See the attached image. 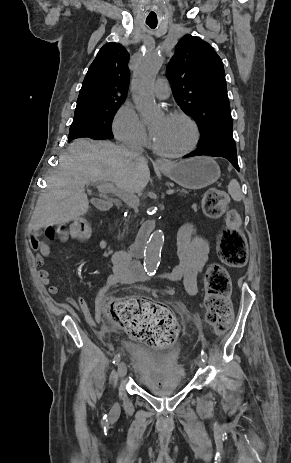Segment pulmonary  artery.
<instances>
[{"label":"pulmonary artery","mask_w":291,"mask_h":463,"mask_svg":"<svg viewBox=\"0 0 291 463\" xmlns=\"http://www.w3.org/2000/svg\"><path fill=\"white\" fill-rule=\"evenodd\" d=\"M153 93L158 99H167L170 95L168 80L164 77L158 78L154 84Z\"/></svg>","instance_id":"e3ab8cb5"}]
</instances>
